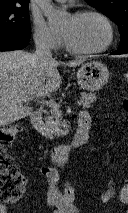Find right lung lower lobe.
Here are the masks:
<instances>
[{"label":"right lung lower lobe","mask_w":128,"mask_h":213,"mask_svg":"<svg viewBox=\"0 0 128 213\" xmlns=\"http://www.w3.org/2000/svg\"><path fill=\"white\" fill-rule=\"evenodd\" d=\"M29 38L15 36L0 37V51L20 50L29 44Z\"/></svg>","instance_id":"1"}]
</instances>
